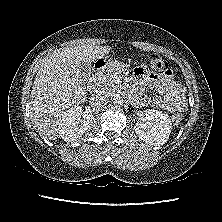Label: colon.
<instances>
[{
	"label": "colon",
	"instance_id": "obj_1",
	"mask_svg": "<svg viewBox=\"0 0 222 222\" xmlns=\"http://www.w3.org/2000/svg\"><path fill=\"white\" fill-rule=\"evenodd\" d=\"M166 70L165 63L163 59L158 55H151L149 58V64H144L135 69V72L138 74H145L147 72H164ZM182 119V115L180 112H175L172 115V121L174 123H179Z\"/></svg>",
	"mask_w": 222,
	"mask_h": 222
}]
</instances>
